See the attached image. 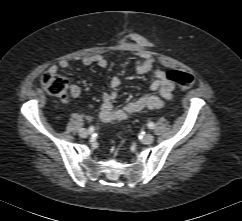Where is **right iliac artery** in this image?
Returning a JSON list of instances; mask_svg holds the SVG:
<instances>
[{
    "mask_svg": "<svg viewBox=\"0 0 242 221\" xmlns=\"http://www.w3.org/2000/svg\"><path fill=\"white\" fill-rule=\"evenodd\" d=\"M94 131V127L93 126H90L89 127V132H93Z\"/></svg>",
    "mask_w": 242,
    "mask_h": 221,
    "instance_id": "obj_1",
    "label": "right iliac artery"
}]
</instances>
